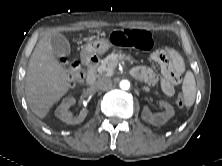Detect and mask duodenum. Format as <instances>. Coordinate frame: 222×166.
<instances>
[{
	"mask_svg": "<svg viewBox=\"0 0 222 166\" xmlns=\"http://www.w3.org/2000/svg\"><path fill=\"white\" fill-rule=\"evenodd\" d=\"M99 57L93 54H85L83 56V63L87 67L88 74L86 84L89 87L94 86L97 79V68L99 66Z\"/></svg>",
	"mask_w": 222,
	"mask_h": 166,
	"instance_id": "1",
	"label": "duodenum"
}]
</instances>
